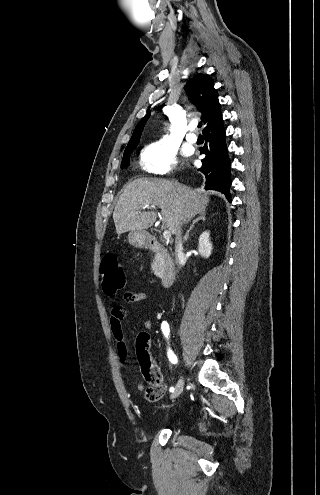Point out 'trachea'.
Returning <instances> with one entry per match:
<instances>
[{
    "label": "trachea",
    "mask_w": 320,
    "mask_h": 495,
    "mask_svg": "<svg viewBox=\"0 0 320 495\" xmlns=\"http://www.w3.org/2000/svg\"><path fill=\"white\" fill-rule=\"evenodd\" d=\"M198 127H199V128H201V127H202V123H199V124H198Z\"/></svg>",
    "instance_id": "3493384b"
}]
</instances>
